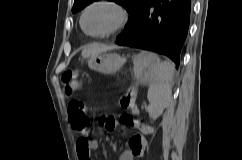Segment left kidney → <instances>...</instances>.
Returning a JSON list of instances; mask_svg holds the SVG:
<instances>
[{
	"label": "left kidney",
	"instance_id": "5707ae66",
	"mask_svg": "<svg viewBox=\"0 0 242 160\" xmlns=\"http://www.w3.org/2000/svg\"><path fill=\"white\" fill-rule=\"evenodd\" d=\"M163 109H164V107L163 108H160L159 110L154 111V112L149 111L150 117L153 120L157 119L162 114Z\"/></svg>",
	"mask_w": 242,
	"mask_h": 160
}]
</instances>
